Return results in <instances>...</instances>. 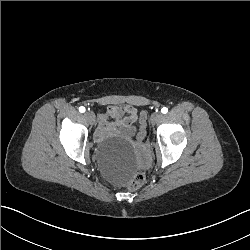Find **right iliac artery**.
<instances>
[{
	"label": "right iliac artery",
	"mask_w": 250,
	"mask_h": 250,
	"mask_svg": "<svg viewBox=\"0 0 250 250\" xmlns=\"http://www.w3.org/2000/svg\"><path fill=\"white\" fill-rule=\"evenodd\" d=\"M79 111H80L81 113H84V112H85V107H83V106L79 107Z\"/></svg>",
	"instance_id": "82829eb1"
}]
</instances>
